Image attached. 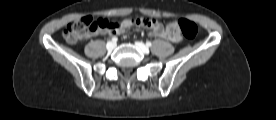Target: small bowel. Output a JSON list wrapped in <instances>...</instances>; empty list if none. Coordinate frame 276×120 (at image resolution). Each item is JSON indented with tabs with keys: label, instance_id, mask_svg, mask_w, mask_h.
<instances>
[{
	"label": "small bowel",
	"instance_id": "obj_1",
	"mask_svg": "<svg viewBox=\"0 0 276 120\" xmlns=\"http://www.w3.org/2000/svg\"><path fill=\"white\" fill-rule=\"evenodd\" d=\"M128 26V21H124L122 23V26L116 31V33H122ZM149 29L151 30L150 34L156 37H160L166 40H169L174 43H178L181 41V37L179 34H170L168 33L162 26L161 23H159L156 20H153L151 25L149 26ZM109 33H115V32H109ZM87 38L90 37V35L86 36Z\"/></svg>",
	"mask_w": 276,
	"mask_h": 120
}]
</instances>
